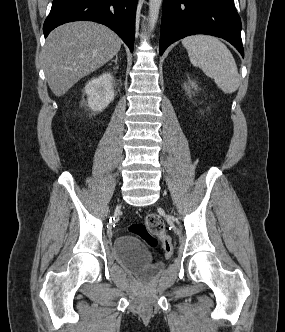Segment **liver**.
Masks as SVG:
<instances>
[{
    "label": "liver",
    "instance_id": "6515ba94",
    "mask_svg": "<svg viewBox=\"0 0 285 332\" xmlns=\"http://www.w3.org/2000/svg\"><path fill=\"white\" fill-rule=\"evenodd\" d=\"M122 41L108 27L76 21L63 24L48 36L44 47V69L52 92L60 97L86 75L110 61Z\"/></svg>",
    "mask_w": 285,
    "mask_h": 332
}]
</instances>
